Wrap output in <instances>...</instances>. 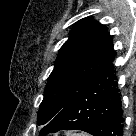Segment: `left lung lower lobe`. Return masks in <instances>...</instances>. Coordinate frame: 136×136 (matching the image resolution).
Segmentation results:
<instances>
[{"instance_id":"obj_1","label":"left lung lower lobe","mask_w":136,"mask_h":136,"mask_svg":"<svg viewBox=\"0 0 136 136\" xmlns=\"http://www.w3.org/2000/svg\"><path fill=\"white\" fill-rule=\"evenodd\" d=\"M114 50L83 84L73 99L41 130L40 136L59 130H82L93 136H121L122 112L116 89Z\"/></svg>"}]
</instances>
